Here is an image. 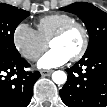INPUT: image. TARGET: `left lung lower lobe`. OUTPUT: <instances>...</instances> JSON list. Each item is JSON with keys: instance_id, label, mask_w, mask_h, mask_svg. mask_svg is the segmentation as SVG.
<instances>
[{"instance_id": "1", "label": "left lung lower lobe", "mask_w": 107, "mask_h": 107, "mask_svg": "<svg viewBox=\"0 0 107 107\" xmlns=\"http://www.w3.org/2000/svg\"><path fill=\"white\" fill-rule=\"evenodd\" d=\"M67 72L60 96L68 107L107 106V44L86 53Z\"/></svg>"}]
</instances>
